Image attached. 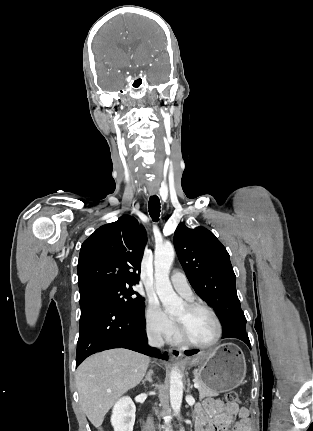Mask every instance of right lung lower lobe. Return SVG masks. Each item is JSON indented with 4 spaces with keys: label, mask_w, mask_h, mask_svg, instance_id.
Wrapping results in <instances>:
<instances>
[{
    "label": "right lung lower lobe",
    "mask_w": 313,
    "mask_h": 431,
    "mask_svg": "<svg viewBox=\"0 0 313 431\" xmlns=\"http://www.w3.org/2000/svg\"><path fill=\"white\" fill-rule=\"evenodd\" d=\"M143 312H130L118 305L94 301L81 307L76 367L88 356L107 349L126 348L151 357L167 359L147 343Z\"/></svg>",
    "instance_id": "1"
}]
</instances>
